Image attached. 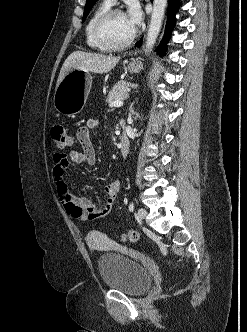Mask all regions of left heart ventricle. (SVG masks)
Masks as SVG:
<instances>
[{"label":"left heart ventricle","instance_id":"obj_1","mask_svg":"<svg viewBox=\"0 0 247 332\" xmlns=\"http://www.w3.org/2000/svg\"><path fill=\"white\" fill-rule=\"evenodd\" d=\"M134 31L125 14H115L105 27L106 38L114 44L125 41Z\"/></svg>","mask_w":247,"mask_h":332}]
</instances>
